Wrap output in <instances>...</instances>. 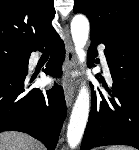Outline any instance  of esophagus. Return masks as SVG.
Masks as SVG:
<instances>
[{"label": "esophagus", "mask_w": 139, "mask_h": 150, "mask_svg": "<svg viewBox=\"0 0 139 150\" xmlns=\"http://www.w3.org/2000/svg\"><path fill=\"white\" fill-rule=\"evenodd\" d=\"M65 49H66V76H67V82L65 87V100L68 107L71 106L75 91H76V84L74 80L71 78L70 74L71 71L76 66V59L74 54V47L69 35L68 30H65Z\"/></svg>", "instance_id": "obj_1"}]
</instances>
